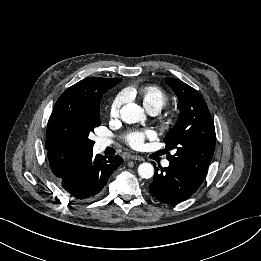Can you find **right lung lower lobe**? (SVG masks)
<instances>
[{"label":"right lung lower lobe","mask_w":261,"mask_h":261,"mask_svg":"<svg viewBox=\"0 0 261 261\" xmlns=\"http://www.w3.org/2000/svg\"><path fill=\"white\" fill-rule=\"evenodd\" d=\"M119 156L93 157L90 151L63 177L59 178L64 192L72 199L90 201L101 195L109 177L121 165Z\"/></svg>","instance_id":"1"}]
</instances>
